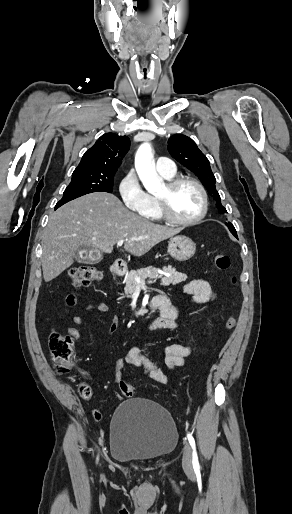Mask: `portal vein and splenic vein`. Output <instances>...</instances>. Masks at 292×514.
<instances>
[{
  "instance_id": "obj_1",
  "label": "portal vein and splenic vein",
  "mask_w": 292,
  "mask_h": 514,
  "mask_svg": "<svg viewBox=\"0 0 292 514\" xmlns=\"http://www.w3.org/2000/svg\"><path fill=\"white\" fill-rule=\"evenodd\" d=\"M123 242H125V240H119L118 242V246H122ZM137 284H141V286H145V282H140V278H135ZM149 284H151V282H149Z\"/></svg>"
}]
</instances>
